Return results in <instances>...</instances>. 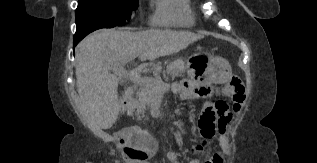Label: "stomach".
<instances>
[{
	"label": "stomach",
	"instance_id": "stomach-1",
	"mask_svg": "<svg viewBox=\"0 0 317 163\" xmlns=\"http://www.w3.org/2000/svg\"><path fill=\"white\" fill-rule=\"evenodd\" d=\"M203 72L199 68H190L189 73L197 80L206 79L213 83H224L231 75V66L229 62L222 57L206 54L202 62Z\"/></svg>",
	"mask_w": 317,
	"mask_h": 163
}]
</instances>
